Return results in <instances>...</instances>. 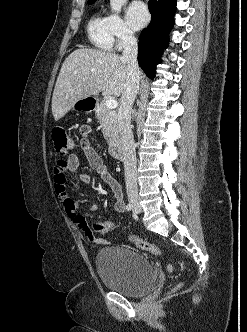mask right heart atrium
<instances>
[{
	"mask_svg": "<svg viewBox=\"0 0 247 332\" xmlns=\"http://www.w3.org/2000/svg\"><path fill=\"white\" fill-rule=\"evenodd\" d=\"M111 31L116 46L121 48L134 40V32L119 14L110 15Z\"/></svg>",
	"mask_w": 247,
	"mask_h": 332,
	"instance_id": "d8ad5b80",
	"label": "right heart atrium"
}]
</instances>
